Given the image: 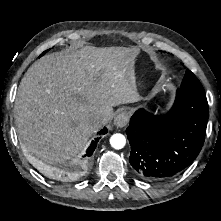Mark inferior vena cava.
I'll return each mask as SVG.
<instances>
[{"instance_id": "1", "label": "inferior vena cava", "mask_w": 221, "mask_h": 221, "mask_svg": "<svg viewBox=\"0 0 221 221\" xmlns=\"http://www.w3.org/2000/svg\"><path fill=\"white\" fill-rule=\"evenodd\" d=\"M105 122V118L100 114H94L89 119V124L94 130H99Z\"/></svg>"}]
</instances>
